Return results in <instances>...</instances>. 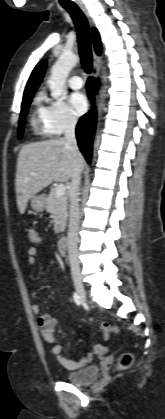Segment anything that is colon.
Listing matches in <instances>:
<instances>
[{
	"instance_id": "obj_1",
	"label": "colon",
	"mask_w": 165,
	"mask_h": 419,
	"mask_svg": "<svg viewBox=\"0 0 165 419\" xmlns=\"http://www.w3.org/2000/svg\"><path fill=\"white\" fill-rule=\"evenodd\" d=\"M28 237H29V240L33 243H36L39 240V236H38L37 232L33 229L28 230ZM100 329L106 335L111 331L112 328L107 323H101L100 324ZM133 361H134L133 354L131 352H124L118 358L117 369L118 370H125L132 365Z\"/></svg>"
}]
</instances>
